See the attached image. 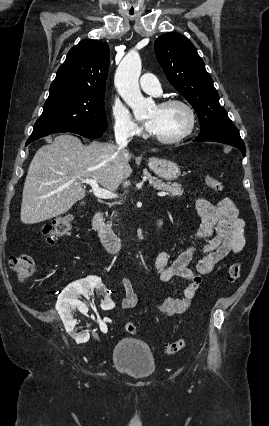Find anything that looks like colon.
<instances>
[{
	"label": "colon",
	"instance_id": "colon-1",
	"mask_svg": "<svg viewBox=\"0 0 269 426\" xmlns=\"http://www.w3.org/2000/svg\"><path fill=\"white\" fill-rule=\"evenodd\" d=\"M206 185L217 193H221L223 190V184L211 175L205 177ZM73 218L71 215H61L54 219V221L46 226L42 233L45 240L53 244L58 239L68 235L72 229ZM9 265L12 269L15 279L17 282H27L36 272V266L31 256L22 254L15 255L9 258ZM242 272V265L238 262L233 263L229 267L228 279L233 282L236 281ZM125 331L128 333H136L137 326L133 322H127L124 326ZM187 344V341L183 338L176 340L175 342L169 343L165 346V352L167 354H175L183 349Z\"/></svg>",
	"mask_w": 269,
	"mask_h": 426
}]
</instances>
